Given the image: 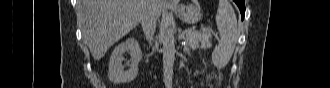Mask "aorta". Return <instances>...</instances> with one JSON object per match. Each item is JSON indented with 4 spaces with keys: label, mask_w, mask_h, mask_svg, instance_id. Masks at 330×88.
<instances>
[{
    "label": "aorta",
    "mask_w": 330,
    "mask_h": 88,
    "mask_svg": "<svg viewBox=\"0 0 330 88\" xmlns=\"http://www.w3.org/2000/svg\"><path fill=\"white\" fill-rule=\"evenodd\" d=\"M163 42V81L166 88H172L175 60V38L173 30L168 28L162 36Z\"/></svg>",
    "instance_id": "1"
}]
</instances>
